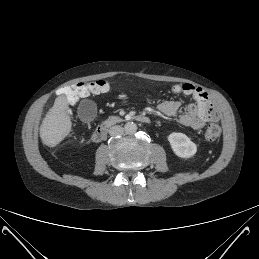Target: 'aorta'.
<instances>
[{
	"instance_id": "762f6f07",
	"label": "aorta",
	"mask_w": 259,
	"mask_h": 259,
	"mask_svg": "<svg viewBox=\"0 0 259 259\" xmlns=\"http://www.w3.org/2000/svg\"><path fill=\"white\" fill-rule=\"evenodd\" d=\"M126 134H134L137 131V125L134 122H127L124 126Z\"/></svg>"
}]
</instances>
